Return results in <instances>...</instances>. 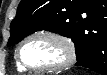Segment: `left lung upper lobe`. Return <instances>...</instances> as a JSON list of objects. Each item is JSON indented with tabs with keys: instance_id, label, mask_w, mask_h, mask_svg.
Returning <instances> with one entry per match:
<instances>
[{
	"instance_id": "obj_1",
	"label": "left lung upper lobe",
	"mask_w": 107,
	"mask_h": 75,
	"mask_svg": "<svg viewBox=\"0 0 107 75\" xmlns=\"http://www.w3.org/2000/svg\"><path fill=\"white\" fill-rule=\"evenodd\" d=\"M94 8L87 0H21L10 25L8 46L37 30H49L71 38L79 58L84 53L83 36L107 38V22L93 17Z\"/></svg>"
}]
</instances>
